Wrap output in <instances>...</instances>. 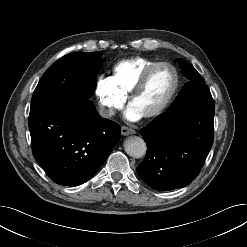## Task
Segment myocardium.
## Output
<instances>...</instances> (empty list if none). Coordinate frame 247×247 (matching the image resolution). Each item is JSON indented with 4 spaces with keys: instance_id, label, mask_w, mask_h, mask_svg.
Segmentation results:
<instances>
[{
    "instance_id": "obj_1",
    "label": "myocardium",
    "mask_w": 247,
    "mask_h": 247,
    "mask_svg": "<svg viewBox=\"0 0 247 247\" xmlns=\"http://www.w3.org/2000/svg\"><path fill=\"white\" fill-rule=\"evenodd\" d=\"M162 65L168 66L172 69V71L174 73V83H173L171 91L169 92L168 96L163 101V103L159 107H157L154 111L143 116V118H145V119H153V118L158 117L172 103L173 99L175 98V96L177 94V91H178L179 85H180V75H179L177 68L172 63H170L168 61H156V62L152 63L151 65H149L148 67H146L143 70V72L140 74L139 78L135 82L134 86L130 90L129 94L127 95V102H128V105L130 106L133 99L144 88V86H145L150 74L153 72V70L159 66H162Z\"/></svg>"
}]
</instances>
